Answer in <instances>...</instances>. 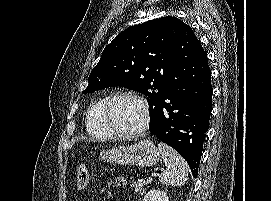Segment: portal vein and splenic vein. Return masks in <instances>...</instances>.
I'll use <instances>...</instances> for the list:
<instances>
[{"mask_svg": "<svg viewBox=\"0 0 271 201\" xmlns=\"http://www.w3.org/2000/svg\"><path fill=\"white\" fill-rule=\"evenodd\" d=\"M151 181H152V177H148L147 182H151Z\"/></svg>", "mask_w": 271, "mask_h": 201, "instance_id": "obj_1", "label": "portal vein and splenic vein"}]
</instances>
